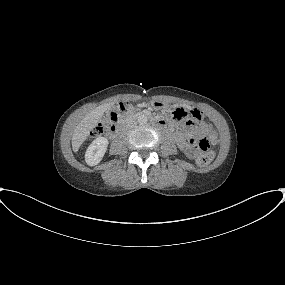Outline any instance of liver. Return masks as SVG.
<instances>
[{"label":"liver","mask_w":285,"mask_h":285,"mask_svg":"<svg viewBox=\"0 0 285 285\" xmlns=\"http://www.w3.org/2000/svg\"><path fill=\"white\" fill-rule=\"evenodd\" d=\"M113 103L100 105L85 115V117L76 126L72 135V149L77 152L82 143L87 139L91 130L100 122L104 112L110 109Z\"/></svg>","instance_id":"obj_1"}]
</instances>
